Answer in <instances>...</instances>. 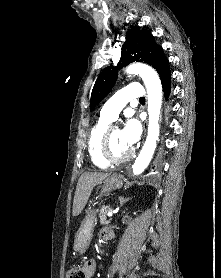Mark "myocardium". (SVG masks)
Returning <instances> with one entry per match:
<instances>
[{"instance_id": "obj_1", "label": "myocardium", "mask_w": 221, "mask_h": 278, "mask_svg": "<svg viewBox=\"0 0 221 278\" xmlns=\"http://www.w3.org/2000/svg\"><path fill=\"white\" fill-rule=\"evenodd\" d=\"M113 128L114 127H108L102 136L101 144H100V155L103 158V160L109 164H122L129 161L133 157L134 150L131 149L123 157H114L111 154L110 137Z\"/></svg>"}]
</instances>
